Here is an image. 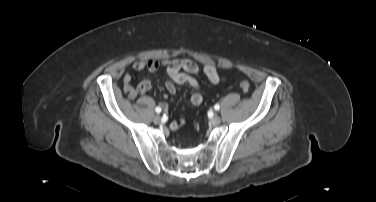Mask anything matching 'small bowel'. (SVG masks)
Instances as JSON below:
<instances>
[{"label":"small bowel","instance_id":"small-bowel-1","mask_svg":"<svg viewBox=\"0 0 376 202\" xmlns=\"http://www.w3.org/2000/svg\"><path fill=\"white\" fill-rule=\"evenodd\" d=\"M162 67L165 68L169 76V80L165 83L166 91L171 100L176 93V86L188 84L193 89L191 96V103L193 106H199L203 101V95L200 91L199 83L192 76L200 72L199 66L191 60L174 59L170 61H159L155 59L134 61L131 64L132 72H139L147 69L149 72H157ZM202 73L212 83L218 84L221 80L216 68L212 65H205L202 68ZM151 89V82L148 80L141 81L136 87L132 85V76L125 74L123 77V92L130 100H135L139 95H142ZM184 120L173 122L171 124L172 130H178L184 125Z\"/></svg>","mask_w":376,"mask_h":202}]
</instances>
